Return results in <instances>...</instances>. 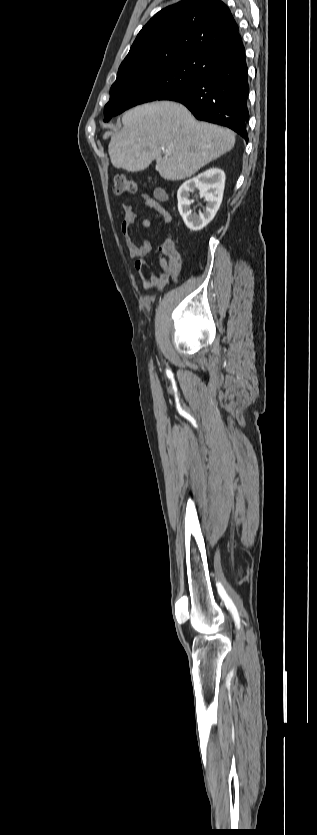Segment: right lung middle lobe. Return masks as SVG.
<instances>
[{"instance_id":"dd1d6c3e","label":"right lung middle lobe","mask_w":317,"mask_h":835,"mask_svg":"<svg viewBox=\"0 0 317 835\" xmlns=\"http://www.w3.org/2000/svg\"><path fill=\"white\" fill-rule=\"evenodd\" d=\"M196 57L142 68L117 76L104 107V121L135 105L158 100L163 95L202 77Z\"/></svg>"}]
</instances>
